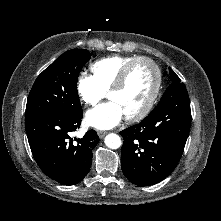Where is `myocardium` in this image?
I'll list each match as a JSON object with an SVG mask.
<instances>
[{
    "label": "myocardium",
    "mask_w": 221,
    "mask_h": 221,
    "mask_svg": "<svg viewBox=\"0 0 221 221\" xmlns=\"http://www.w3.org/2000/svg\"><path fill=\"white\" fill-rule=\"evenodd\" d=\"M140 62H145L151 65V67L153 68L155 72V84H154V88L151 93V96L148 99L145 106L138 113L125 117L126 120L129 122H138L144 119L154 107L158 99V96L160 94L161 87H162V72H161L159 65L153 59L149 57H145V56L136 57L135 59H133L127 65L124 66V68L121 70L115 82L113 83V85L111 86V88L108 90V93H107V95H109L112 92L121 90L124 87L132 68L137 63H140Z\"/></svg>",
    "instance_id": "myocardium-1"
}]
</instances>
